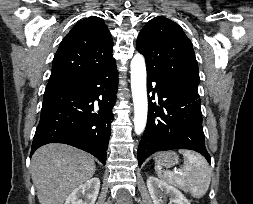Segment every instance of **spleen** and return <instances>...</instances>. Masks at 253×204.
I'll list each match as a JSON object with an SVG mask.
<instances>
[{
    "mask_svg": "<svg viewBox=\"0 0 253 204\" xmlns=\"http://www.w3.org/2000/svg\"><path fill=\"white\" fill-rule=\"evenodd\" d=\"M184 157L182 168L178 171L163 170L160 160L156 161L155 170L163 181L174 185L195 198L207 192L212 172L206 159L199 153L190 150H179Z\"/></svg>",
    "mask_w": 253,
    "mask_h": 204,
    "instance_id": "1",
    "label": "spleen"
}]
</instances>
